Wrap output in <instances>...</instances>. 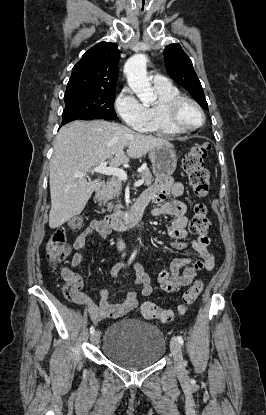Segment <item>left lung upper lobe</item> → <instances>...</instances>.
I'll use <instances>...</instances> for the list:
<instances>
[{
  "instance_id": "obj_1",
  "label": "left lung upper lobe",
  "mask_w": 266,
  "mask_h": 415,
  "mask_svg": "<svg viewBox=\"0 0 266 415\" xmlns=\"http://www.w3.org/2000/svg\"><path fill=\"white\" fill-rule=\"evenodd\" d=\"M164 60L169 76L184 87L199 105L208 110L201 83L194 71L192 61L179 44H170L165 48Z\"/></svg>"
}]
</instances>
